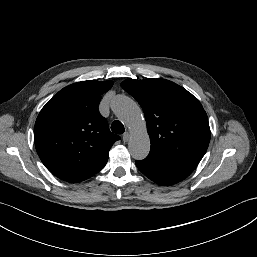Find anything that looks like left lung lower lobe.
Here are the masks:
<instances>
[{"mask_svg":"<svg viewBox=\"0 0 257 257\" xmlns=\"http://www.w3.org/2000/svg\"><path fill=\"white\" fill-rule=\"evenodd\" d=\"M198 163L194 160L167 162L150 158L135 161L136 166L144 175L161 185H172L184 180L193 172Z\"/></svg>","mask_w":257,"mask_h":257,"instance_id":"left-lung-lower-lobe-1","label":"left lung lower lobe"}]
</instances>
